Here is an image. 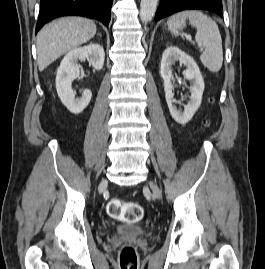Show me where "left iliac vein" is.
Here are the masks:
<instances>
[{
	"instance_id": "1",
	"label": "left iliac vein",
	"mask_w": 265,
	"mask_h": 269,
	"mask_svg": "<svg viewBox=\"0 0 265 269\" xmlns=\"http://www.w3.org/2000/svg\"><path fill=\"white\" fill-rule=\"evenodd\" d=\"M149 185L153 191L154 196L159 199L161 197V192H160L158 186L153 182H150Z\"/></svg>"
}]
</instances>
